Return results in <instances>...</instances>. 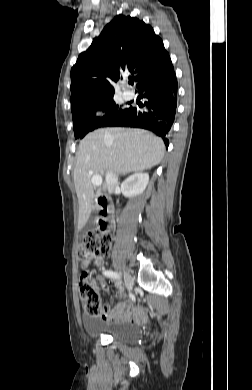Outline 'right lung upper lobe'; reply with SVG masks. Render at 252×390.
I'll return each mask as SVG.
<instances>
[{
  "label": "right lung upper lobe",
  "instance_id": "cb5924a9",
  "mask_svg": "<svg viewBox=\"0 0 252 390\" xmlns=\"http://www.w3.org/2000/svg\"><path fill=\"white\" fill-rule=\"evenodd\" d=\"M127 70L137 87L173 70L162 39L150 25L135 17L118 15L82 52L71 69L72 109L114 95L112 82Z\"/></svg>",
  "mask_w": 252,
  "mask_h": 390
}]
</instances>
